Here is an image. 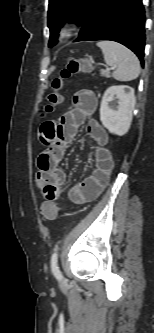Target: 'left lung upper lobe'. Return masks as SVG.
<instances>
[{
    "label": "left lung upper lobe",
    "instance_id": "1",
    "mask_svg": "<svg viewBox=\"0 0 154 333\" xmlns=\"http://www.w3.org/2000/svg\"><path fill=\"white\" fill-rule=\"evenodd\" d=\"M95 2L96 0H49L50 46L56 43L59 29L65 22H76L77 25H82Z\"/></svg>",
    "mask_w": 154,
    "mask_h": 333
}]
</instances>
